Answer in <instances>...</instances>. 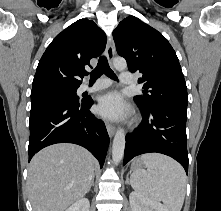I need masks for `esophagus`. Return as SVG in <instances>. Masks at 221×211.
I'll return each mask as SVG.
<instances>
[{
	"mask_svg": "<svg viewBox=\"0 0 221 211\" xmlns=\"http://www.w3.org/2000/svg\"><path fill=\"white\" fill-rule=\"evenodd\" d=\"M114 55H115L114 42L112 39H110L108 40L107 46H106V56L111 65L113 62ZM105 125H106V129H107L109 136L112 137L115 133V126L109 122H106Z\"/></svg>",
	"mask_w": 221,
	"mask_h": 211,
	"instance_id": "esophagus-1",
	"label": "esophagus"
}]
</instances>
